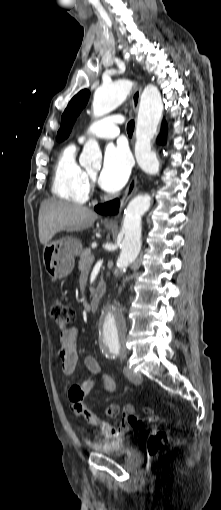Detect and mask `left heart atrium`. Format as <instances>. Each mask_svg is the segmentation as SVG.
I'll list each match as a JSON object with an SVG mask.
<instances>
[{"instance_id":"1","label":"left heart atrium","mask_w":221,"mask_h":510,"mask_svg":"<svg viewBox=\"0 0 221 510\" xmlns=\"http://www.w3.org/2000/svg\"><path fill=\"white\" fill-rule=\"evenodd\" d=\"M131 166V156L124 145H109L99 175L101 187L109 192L120 190L129 178Z\"/></svg>"}]
</instances>
